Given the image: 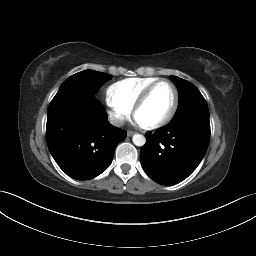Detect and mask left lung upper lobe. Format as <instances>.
Wrapping results in <instances>:
<instances>
[{
  "mask_svg": "<svg viewBox=\"0 0 256 256\" xmlns=\"http://www.w3.org/2000/svg\"><path fill=\"white\" fill-rule=\"evenodd\" d=\"M179 91V104L171 121H176L187 115H197L209 118V110L206 100L199 90L190 82L171 76Z\"/></svg>",
  "mask_w": 256,
  "mask_h": 256,
  "instance_id": "left-lung-upper-lobe-1",
  "label": "left lung upper lobe"
}]
</instances>
